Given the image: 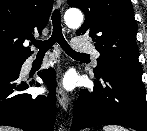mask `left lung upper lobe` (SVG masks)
<instances>
[{
  "label": "left lung upper lobe",
  "instance_id": "5c2ea615",
  "mask_svg": "<svg viewBox=\"0 0 147 131\" xmlns=\"http://www.w3.org/2000/svg\"><path fill=\"white\" fill-rule=\"evenodd\" d=\"M85 13L77 35H88L100 53L96 76L115 71L142 81L136 43L137 24L130 0H67Z\"/></svg>",
  "mask_w": 147,
  "mask_h": 131
}]
</instances>
